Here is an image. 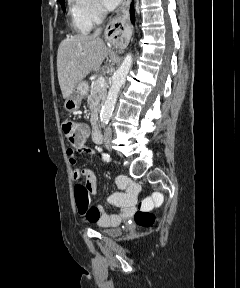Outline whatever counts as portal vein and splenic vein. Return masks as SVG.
<instances>
[{"mask_svg":"<svg viewBox=\"0 0 240 288\" xmlns=\"http://www.w3.org/2000/svg\"><path fill=\"white\" fill-rule=\"evenodd\" d=\"M97 84H98V86L99 87H104V85H105V79H104V77L103 76H99L98 77V79H97Z\"/></svg>","mask_w":240,"mask_h":288,"instance_id":"portal-vein-and-splenic-vein-1","label":"portal vein and splenic vein"}]
</instances>
